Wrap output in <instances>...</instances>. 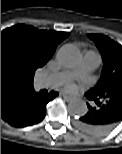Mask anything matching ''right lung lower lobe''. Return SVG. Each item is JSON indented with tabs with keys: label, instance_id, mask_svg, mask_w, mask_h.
Returning a JSON list of instances; mask_svg holds the SVG:
<instances>
[{
	"label": "right lung lower lobe",
	"instance_id": "98d812e1",
	"mask_svg": "<svg viewBox=\"0 0 122 154\" xmlns=\"http://www.w3.org/2000/svg\"><path fill=\"white\" fill-rule=\"evenodd\" d=\"M57 95L55 91L37 93L33 86L18 90L1 100V118L14 127L39 123L45 117L46 105Z\"/></svg>",
	"mask_w": 122,
	"mask_h": 154
}]
</instances>
